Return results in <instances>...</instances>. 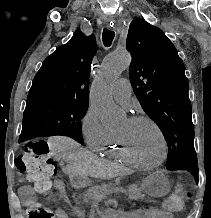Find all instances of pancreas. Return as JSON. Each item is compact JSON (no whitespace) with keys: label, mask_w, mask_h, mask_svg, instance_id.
Wrapping results in <instances>:
<instances>
[{"label":"pancreas","mask_w":211,"mask_h":218,"mask_svg":"<svg viewBox=\"0 0 211 218\" xmlns=\"http://www.w3.org/2000/svg\"><path fill=\"white\" fill-rule=\"evenodd\" d=\"M93 189L94 190H88L87 194H84L86 200H91V205H98V200H105V195H116L115 192L113 193L112 186H94ZM126 194H128L130 200H142L145 196V194H142L141 188H138L136 184L135 186H130ZM91 216H93V214H91Z\"/></svg>","instance_id":"cf45deb5"}]
</instances>
